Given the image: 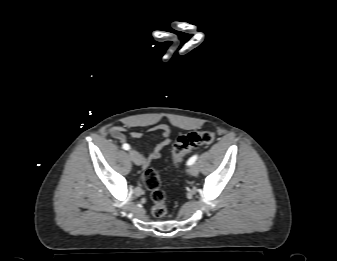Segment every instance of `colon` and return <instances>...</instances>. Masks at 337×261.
Here are the masks:
<instances>
[{"instance_id": "obj_1", "label": "colon", "mask_w": 337, "mask_h": 261, "mask_svg": "<svg viewBox=\"0 0 337 261\" xmlns=\"http://www.w3.org/2000/svg\"><path fill=\"white\" fill-rule=\"evenodd\" d=\"M215 135L210 131L189 132L177 138L172 147V161L174 165L180 164L184 156L193 148L200 145H208L214 141ZM143 183L150 191L153 202L152 213L157 218L167 214L165 193L160 187V177L156 170L147 169L143 174Z\"/></svg>"}]
</instances>
